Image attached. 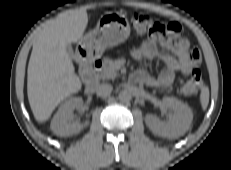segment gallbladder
Here are the masks:
<instances>
[{
  "label": "gallbladder",
  "mask_w": 231,
  "mask_h": 170,
  "mask_svg": "<svg viewBox=\"0 0 231 170\" xmlns=\"http://www.w3.org/2000/svg\"><path fill=\"white\" fill-rule=\"evenodd\" d=\"M66 51L70 57H73L74 52H73L72 46L70 44L66 45Z\"/></svg>",
  "instance_id": "bac80fb5"
}]
</instances>
